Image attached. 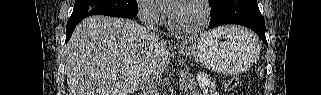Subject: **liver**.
<instances>
[{
	"instance_id": "6515ba94",
	"label": "liver",
	"mask_w": 321,
	"mask_h": 95,
	"mask_svg": "<svg viewBox=\"0 0 321 95\" xmlns=\"http://www.w3.org/2000/svg\"><path fill=\"white\" fill-rule=\"evenodd\" d=\"M65 58L69 95H133L145 74L161 76L170 52L163 39L132 20L96 15L76 26Z\"/></svg>"
}]
</instances>
